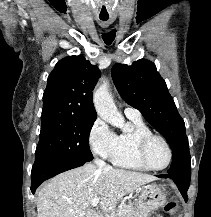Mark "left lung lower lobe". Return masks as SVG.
Returning <instances> with one entry per match:
<instances>
[{
    "label": "left lung lower lobe",
    "mask_w": 211,
    "mask_h": 217,
    "mask_svg": "<svg viewBox=\"0 0 211 217\" xmlns=\"http://www.w3.org/2000/svg\"><path fill=\"white\" fill-rule=\"evenodd\" d=\"M157 177L172 179L177 185L178 189L180 190L185 202H187L188 200L187 191L190 185L191 176H185L179 174H165V175H157Z\"/></svg>",
    "instance_id": "obj_1"
}]
</instances>
